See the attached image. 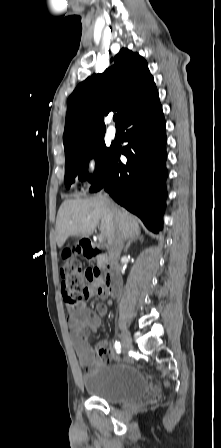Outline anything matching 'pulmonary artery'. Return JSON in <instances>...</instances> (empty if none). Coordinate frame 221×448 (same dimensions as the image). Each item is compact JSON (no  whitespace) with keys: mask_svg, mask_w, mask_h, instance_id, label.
Instances as JSON below:
<instances>
[{"mask_svg":"<svg viewBox=\"0 0 221 448\" xmlns=\"http://www.w3.org/2000/svg\"><path fill=\"white\" fill-rule=\"evenodd\" d=\"M107 135L109 138L114 139L116 137V129L113 126H110L108 128Z\"/></svg>","mask_w":221,"mask_h":448,"instance_id":"obj_1","label":"pulmonary artery"}]
</instances>
